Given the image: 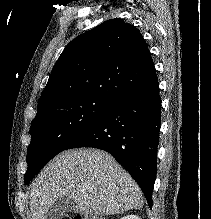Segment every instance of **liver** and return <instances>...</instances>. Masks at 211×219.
I'll return each mask as SVG.
<instances>
[{
	"label": "liver",
	"instance_id": "obj_1",
	"mask_svg": "<svg viewBox=\"0 0 211 219\" xmlns=\"http://www.w3.org/2000/svg\"><path fill=\"white\" fill-rule=\"evenodd\" d=\"M62 198L75 202L74 212L114 215L143 207L142 193L132 177L102 150L80 148L54 157L30 190L31 219H47Z\"/></svg>",
	"mask_w": 211,
	"mask_h": 219
}]
</instances>
